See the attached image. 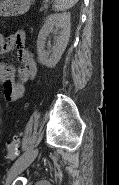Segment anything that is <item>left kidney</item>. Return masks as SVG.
Instances as JSON below:
<instances>
[{"instance_id": "left-kidney-1", "label": "left kidney", "mask_w": 119, "mask_h": 185, "mask_svg": "<svg viewBox=\"0 0 119 185\" xmlns=\"http://www.w3.org/2000/svg\"><path fill=\"white\" fill-rule=\"evenodd\" d=\"M70 18L71 14L69 12L55 13L46 17L37 38L38 61L42 65L53 68L59 62L70 38ZM54 27L60 30L59 36L56 39L53 50L47 51L45 50V40Z\"/></svg>"}]
</instances>
